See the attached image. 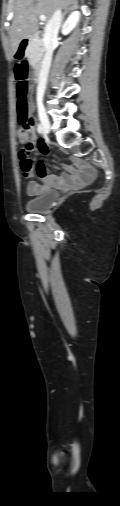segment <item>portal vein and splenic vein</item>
Segmentation results:
<instances>
[{
	"label": "portal vein and splenic vein",
	"instance_id": "18ae733b",
	"mask_svg": "<svg viewBox=\"0 0 120 506\" xmlns=\"http://www.w3.org/2000/svg\"><path fill=\"white\" fill-rule=\"evenodd\" d=\"M39 19H40L41 21H46V16H45V15H40V16H39Z\"/></svg>",
	"mask_w": 120,
	"mask_h": 506
}]
</instances>
